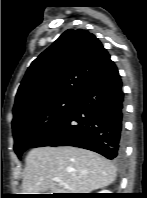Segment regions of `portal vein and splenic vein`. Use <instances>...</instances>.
Segmentation results:
<instances>
[{
    "mask_svg": "<svg viewBox=\"0 0 147 198\" xmlns=\"http://www.w3.org/2000/svg\"><path fill=\"white\" fill-rule=\"evenodd\" d=\"M54 181L56 183H59V185H61V186L67 187V184L65 182L61 181L59 178H55Z\"/></svg>",
    "mask_w": 147,
    "mask_h": 198,
    "instance_id": "1",
    "label": "portal vein and splenic vein"
}]
</instances>
